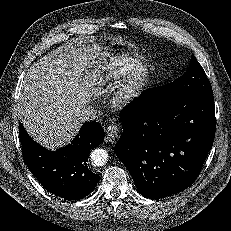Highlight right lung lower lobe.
I'll list each match as a JSON object with an SVG mask.
<instances>
[{"label":"right lung lower lobe","mask_w":231,"mask_h":231,"mask_svg":"<svg viewBox=\"0 0 231 231\" xmlns=\"http://www.w3.org/2000/svg\"><path fill=\"white\" fill-rule=\"evenodd\" d=\"M19 138L27 167L49 192L78 200L96 187L99 174L88 168L87 161L90 150L104 140V130L98 122L84 123L72 142L56 151L34 142L22 124H19Z\"/></svg>","instance_id":"obj_1"}]
</instances>
